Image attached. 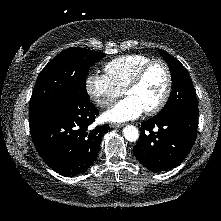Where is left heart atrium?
I'll list each match as a JSON object with an SVG mask.
<instances>
[{
    "mask_svg": "<svg viewBox=\"0 0 221 221\" xmlns=\"http://www.w3.org/2000/svg\"><path fill=\"white\" fill-rule=\"evenodd\" d=\"M142 112V107L132 97L128 96L107 111L103 118L107 121L123 122L137 118Z\"/></svg>",
    "mask_w": 221,
    "mask_h": 221,
    "instance_id": "1",
    "label": "left heart atrium"
}]
</instances>
